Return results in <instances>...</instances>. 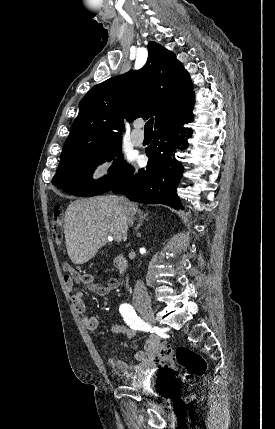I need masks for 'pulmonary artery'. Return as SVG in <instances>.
Instances as JSON below:
<instances>
[{
    "label": "pulmonary artery",
    "instance_id": "1",
    "mask_svg": "<svg viewBox=\"0 0 275 429\" xmlns=\"http://www.w3.org/2000/svg\"><path fill=\"white\" fill-rule=\"evenodd\" d=\"M139 127H140V124L136 123L134 126V129L131 132V140L135 145H140L144 141V134L139 129Z\"/></svg>",
    "mask_w": 275,
    "mask_h": 429
}]
</instances>
